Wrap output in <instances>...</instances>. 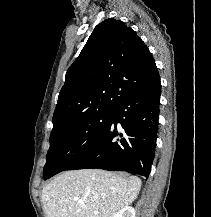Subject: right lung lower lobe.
Returning a JSON list of instances; mask_svg holds the SVG:
<instances>
[{"label":"right lung lower lobe","instance_id":"right-lung-lower-lobe-1","mask_svg":"<svg viewBox=\"0 0 211 217\" xmlns=\"http://www.w3.org/2000/svg\"><path fill=\"white\" fill-rule=\"evenodd\" d=\"M160 77L133 90L115 109L106 133L67 170L98 168L148 177L158 129Z\"/></svg>","mask_w":211,"mask_h":217}]
</instances>
